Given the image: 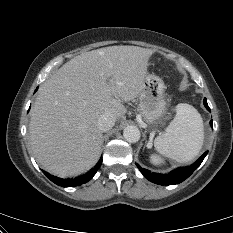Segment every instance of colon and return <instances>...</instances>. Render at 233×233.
<instances>
[{"label":"colon","instance_id":"1","mask_svg":"<svg viewBox=\"0 0 233 233\" xmlns=\"http://www.w3.org/2000/svg\"><path fill=\"white\" fill-rule=\"evenodd\" d=\"M152 161H153V163H154L155 165H160V164H162L161 158L158 157V156H156V155L152 156Z\"/></svg>","mask_w":233,"mask_h":233}]
</instances>
